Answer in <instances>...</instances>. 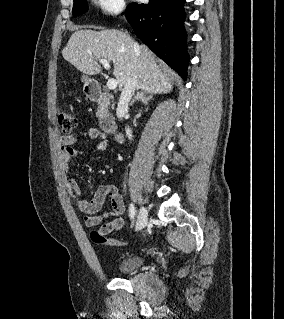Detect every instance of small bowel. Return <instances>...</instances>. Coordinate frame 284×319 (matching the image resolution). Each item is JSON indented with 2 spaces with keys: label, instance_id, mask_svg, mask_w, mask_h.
Instances as JSON below:
<instances>
[{
  "label": "small bowel",
  "instance_id": "1",
  "mask_svg": "<svg viewBox=\"0 0 284 319\" xmlns=\"http://www.w3.org/2000/svg\"><path fill=\"white\" fill-rule=\"evenodd\" d=\"M83 137L96 141L94 145V151L96 152H103L107 147L105 136L95 127L89 128L85 132L62 136L60 138L61 158L66 171L70 170L71 160L82 155V152L76 149L74 144ZM67 187L76 198L77 207L83 214L84 223L87 227L99 226L97 231L105 237L123 227L124 220L122 219V215L125 212V204L116 186H99L91 200L83 197L79 184L73 178L67 180ZM107 198H109L110 210L100 214Z\"/></svg>",
  "mask_w": 284,
  "mask_h": 319
}]
</instances>
